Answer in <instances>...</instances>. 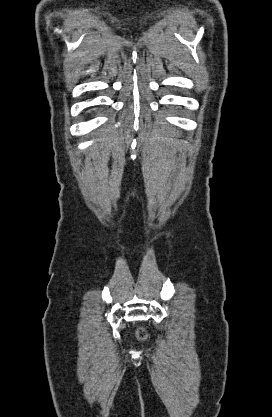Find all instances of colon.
Wrapping results in <instances>:
<instances>
[{"label":"colon","mask_w":272,"mask_h":417,"mask_svg":"<svg viewBox=\"0 0 272 417\" xmlns=\"http://www.w3.org/2000/svg\"><path fill=\"white\" fill-rule=\"evenodd\" d=\"M138 334H139L140 337L145 336V332L142 329L139 330Z\"/></svg>","instance_id":"obj_1"}]
</instances>
